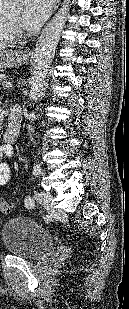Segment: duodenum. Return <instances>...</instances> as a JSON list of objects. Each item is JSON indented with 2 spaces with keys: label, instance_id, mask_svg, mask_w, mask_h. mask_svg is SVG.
I'll list each match as a JSON object with an SVG mask.
<instances>
[{
  "label": "duodenum",
  "instance_id": "410a0bca",
  "mask_svg": "<svg viewBox=\"0 0 129 309\" xmlns=\"http://www.w3.org/2000/svg\"><path fill=\"white\" fill-rule=\"evenodd\" d=\"M19 117L17 113H11L8 117V126L5 133V140L7 144H12L19 131Z\"/></svg>",
  "mask_w": 129,
  "mask_h": 309
}]
</instances>
